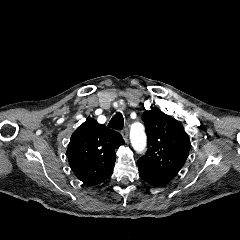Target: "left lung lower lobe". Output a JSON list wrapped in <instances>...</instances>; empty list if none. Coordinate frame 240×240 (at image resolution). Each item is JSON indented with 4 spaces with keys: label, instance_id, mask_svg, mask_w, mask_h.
<instances>
[{
    "label": "left lung lower lobe",
    "instance_id": "1",
    "mask_svg": "<svg viewBox=\"0 0 240 240\" xmlns=\"http://www.w3.org/2000/svg\"><path fill=\"white\" fill-rule=\"evenodd\" d=\"M138 168H139L140 177L153 187H162L166 185L168 182H170V180L154 173L149 168L143 165H138Z\"/></svg>",
    "mask_w": 240,
    "mask_h": 240
}]
</instances>
